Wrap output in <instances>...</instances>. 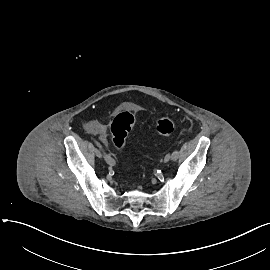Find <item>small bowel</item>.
<instances>
[{
    "mask_svg": "<svg viewBox=\"0 0 270 270\" xmlns=\"http://www.w3.org/2000/svg\"><path fill=\"white\" fill-rule=\"evenodd\" d=\"M90 133L98 136L103 142H107V128L106 125L99 121H91L87 125Z\"/></svg>",
    "mask_w": 270,
    "mask_h": 270,
    "instance_id": "small-bowel-1",
    "label": "small bowel"
}]
</instances>
